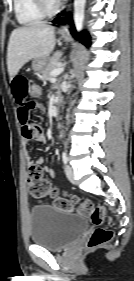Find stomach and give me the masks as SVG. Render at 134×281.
Listing matches in <instances>:
<instances>
[{
  "label": "stomach",
  "instance_id": "0dacf381",
  "mask_svg": "<svg viewBox=\"0 0 134 281\" xmlns=\"http://www.w3.org/2000/svg\"><path fill=\"white\" fill-rule=\"evenodd\" d=\"M61 35H62V38L66 41H68L70 39V36L68 34L62 33ZM48 61H49L48 58L34 59L33 62H32V68L36 72H42L45 69V67L47 66Z\"/></svg>",
  "mask_w": 134,
  "mask_h": 281
}]
</instances>
